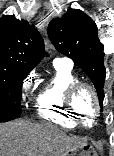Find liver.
<instances>
[{
  "instance_id": "liver-1",
  "label": "liver",
  "mask_w": 114,
  "mask_h": 156,
  "mask_svg": "<svg viewBox=\"0 0 114 156\" xmlns=\"http://www.w3.org/2000/svg\"><path fill=\"white\" fill-rule=\"evenodd\" d=\"M85 141L50 123L25 119L0 123V156H67Z\"/></svg>"
}]
</instances>
